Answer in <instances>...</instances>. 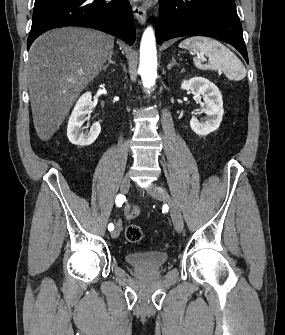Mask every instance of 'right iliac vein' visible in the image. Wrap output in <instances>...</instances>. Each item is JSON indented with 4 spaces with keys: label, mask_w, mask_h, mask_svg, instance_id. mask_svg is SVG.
I'll return each instance as SVG.
<instances>
[{
    "label": "right iliac vein",
    "mask_w": 285,
    "mask_h": 335,
    "mask_svg": "<svg viewBox=\"0 0 285 335\" xmlns=\"http://www.w3.org/2000/svg\"><path fill=\"white\" fill-rule=\"evenodd\" d=\"M130 183H131V180H130V177L129 176H125L122 180H121V184H120V189H121V192L126 194L129 189H130ZM120 231H121V223L118 222L116 224V227L114 229V231L111 233V237L112 238H117L120 234Z\"/></svg>",
    "instance_id": "63e3f726"
}]
</instances>
